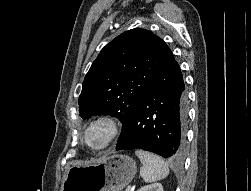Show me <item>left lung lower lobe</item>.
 Segmentation results:
<instances>
[{
  "mask_svg": "<svg viewBox=\"0 0 251 191\" xmlns=\"http://www.w3.org/2000/svg\"><path fill=\"white\" fill-rule=\"evenodd\" d=\"M185 85L172 55L137 107L116 150L143 149L164 158L179 157L184 149Z\"/></svg>",
  "mask_w": 251,
  "mask_h": 191,
  "instance_id": "left-lung-lower-lobe-1",
  "label": "left lung lower lobe"
}]
</instances>
